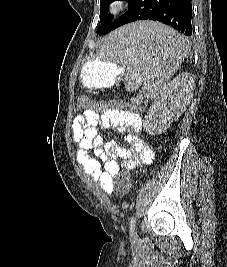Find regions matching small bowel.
Here are the masks:
<instances>
[{
	"instance_id": "obj_1",
	"label": "small bowel",
	"mask_w": 227,
	"mask_h": 267,
	"mask_svg": "<svg viewBox=\"0 0 227 267\" xmlns=\"http://www.w3.org/2000/svg\"><path fill=\"white\" fill-rule=\"evenodd\" d=\"M115 128L127 131L125 144L105 142L99 130ZM142 120L135 112L107 109L103 113L89 109L77 115L72 124V137L77 145V162L82 171L106 193L114 189L113 173L149 165L154 159L153 147L138 135ZM93 153V156L90 154Z\"/></svg>"
}]
</instances>
